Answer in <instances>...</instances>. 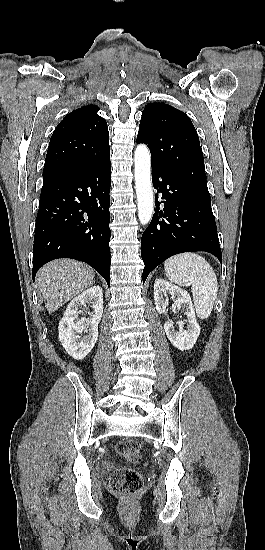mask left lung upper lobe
<instances>
[{
    "instance_id": "1",
    "label": "left lung upper lobe",
    "mask_w": 265,
    "mask_h": 550,
    "mask_svg": "<svg viewBox=\"0 0 265 550\" xmlns=\"http://www.w3.org/2000/svg\"><path fill=\"white\" fill-rule=\"evenodd\" d=\"M137 143L150 149L152 162L209 193L198 134L182 111L165 103H150L143 112Z\"/></svg>"
}]
</instances>
